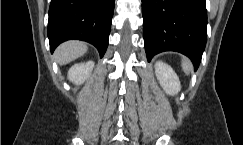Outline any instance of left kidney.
Returning <instances> with one entry per match:
<instances>
[{
  "mask_svg": "<svg viewBox=\"0 0 243 145\" xmlns=\"http://www.w3.org/2000/svg\"><path fill=\"white\" fill-rule=\"evenodd\" d=\"M155 73L160 85L167 94L175 95L180 91L181 84L179 78L168 64L162 61L156 62Z\"/></svg>",
  "mask_w": 243,
  "mask_h": 145,
  "instance_id": "obj_1",
  "label": "left kidney"
}]
</instances>
